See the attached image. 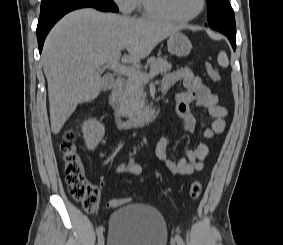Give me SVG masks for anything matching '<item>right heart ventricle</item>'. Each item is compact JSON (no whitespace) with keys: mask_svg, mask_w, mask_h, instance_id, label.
<instances>
[{"mask_svg":"<svg viewBox=\"0 0 283 245\" xmlns=\"http://www.w3.org/2000/svg\"><path fill=\"white\" fill-rule=\"evenodd\" d=\"M141 8L142 7V1L141 0H136V6L135 8Z\"/></svg>","mask_w":283,"mask_h":245,"instance_id":"e07e8e85","label":"right heart ventricle"}]
</instances>
